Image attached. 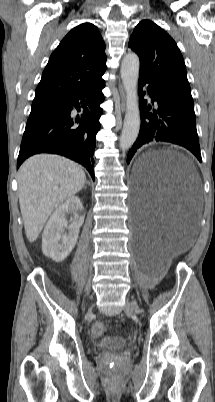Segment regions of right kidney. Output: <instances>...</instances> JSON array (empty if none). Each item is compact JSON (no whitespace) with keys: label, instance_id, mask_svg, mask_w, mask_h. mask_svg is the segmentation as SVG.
<instances>
[{"label":"right kidney","instance_id":"1","mask_svg":"<svg viewBox=\"0 0 215 402\" xmlns=\"http://www.w3.org/2000/svg\"><path fill=\"white\" fill-rule=\"evenodd\" d=\"M73 215L68 225L66 214ZM83 205L77 196L68 198L59 205L48 220L42 235V251L45 256L56 262H62L71 253L76 245L79 229L84 222ZM68 228V234L62 230Z\"/></svg>","mask_w":215,"mask_h":402}]
</instances>
